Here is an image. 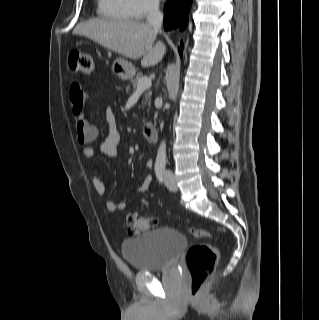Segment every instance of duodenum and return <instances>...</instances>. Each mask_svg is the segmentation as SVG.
<instances>
[{
    "mask_svg": "<svg viewBox=\"0 0 319 320\" xmlns=\"http://www.w3.org/2000/svg\"><path fill=\"white\" fill-rule=\"evenodd\" d=\"M143 135L149 142L157 141L158 134L156 126L154 124H145L143 126Z\"/></svg>",
    "mask_w": 319,
    "mask_h": 320,
    "instance_id": "410a0bca",
    "label": "duodenum"
}]
</instances>
